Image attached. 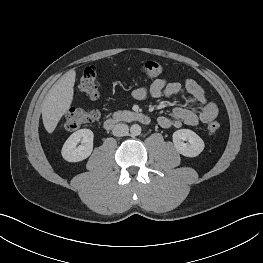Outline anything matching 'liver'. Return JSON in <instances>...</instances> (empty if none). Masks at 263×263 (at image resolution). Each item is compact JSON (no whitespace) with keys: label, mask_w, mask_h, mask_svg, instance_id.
I'll list each match as a JSON object with an SVG mask.
<instances>
[{"label":"liver","mask_w":263,"mask_h":263,"mask_svg":"<svg viewBox=\"0 0 263 263\" xmlns=\"http://www.w3.org/2000/svg\"><path fill=\"white\" fill-rule=\"evenodd\" d=\"M76 72H66L48 91L42 104L43 124L48 133H53L62 116L70 108L75 84Z\"/></svg>","instance_id":"6515ba94"}]
</instances>
